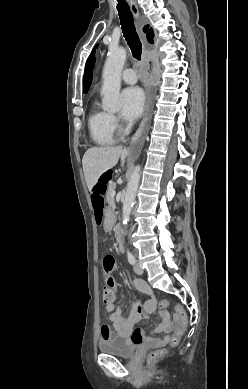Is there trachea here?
Returning <instances> with one entry per match:
<instances>
[{
  "instance_id": "trachea-1",
  "label": "trachea",
  "mask_w": 248,
  "mask_h": 389,
  "mask_svg": "<svg viewBox=\"0 0 248 389\" xmlns=\"http://www.w3.org/2000/svg\"><path fill=\"white\" fill-rule=\"evenodd\" d=\"M117 10L119 13L122 32L125 37V40L127 41L130 47L133 57L136 60L140 61L142 54V44L135 30V25L132 13L130 11V7L125 0H118Z\"/></svg>"
}]
</instances>
